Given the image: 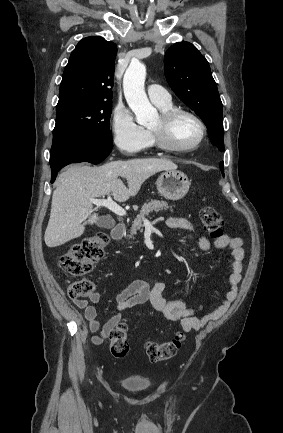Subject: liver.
Wrapping results in <instances>:
<instances>
[{"label": "liver", "instance_id": "1", "mask_svg": "<svg viewBox=\"0 0 283 433\" xmlns=\"http://www.w3.org/2000/svg\"><path fill=\"white\" fill-rule=\"evenodd\" d=\"M170 158L111 160L102 166H70L57 178L52 194L50 219L45 231L47 247H59L81 237L85 225H94L98 214L90 198L112 192L114 200L125 202L135 196L144 180L159 170H175ZM126 178L128 188L123 180Z\"/></svg>", "mask_w": 283, "mask_h": 433}]
</instances>
